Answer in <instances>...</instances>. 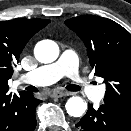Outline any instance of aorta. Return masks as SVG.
I'll return each instance as SVG.
<instances>
[{
  "instance_id": "aorta-1",
  "label": "aorta",
  "mask_w": 131,
  "mask_h": 131,
  "mask_svg": "<svg viewBox=\"0 0 131 131\" xmlns=\"http://www.w3.org/2000/svg\"><path fill=\"white\" fill-rule=\"evenodd\" d=\"M34 54L41 63H51L59 56V47L52 40H42L35 46ZM67 113L73 117H80L87 109V103L79 96L69 98L65 104Z\"/></svg>"
}]
</instances>
